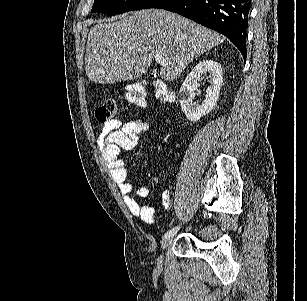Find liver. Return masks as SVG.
<instances>
[{"mask_svg":"<svg viewBox=\"0 0 307 301\" xmlns=\"http://www.w3.org/2000/svg\"><path fill=\"white\" fill-rule=\"evenodd\" d=\"M85 54L87 76L98 84L124 82L147 72L155 54H161L163 80H175L186 66L226 36L181 14L146 8L128 16L94 20Z\"/></svg>","mask_w":307,"mask_h":301,"instance_id":"liver-1","label":"liver"}]
</instances>
